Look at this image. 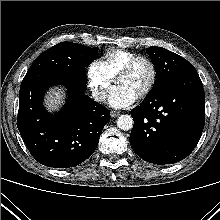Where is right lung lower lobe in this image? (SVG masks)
<instances>
[{
    "mask_svg": "<svg viewBox=\"0 0 220 220\" xmlns=\"http://www.w3.org/2000/svg\"><path fill=\"white\" fill-rule=\"evenodd\" d=\"M63 85L68 98L60 112L49 114L42 100L46 90ZM85 71L27 73L20 86L17 127L31 155L53 168L74 167L95 151L109 110L85 94Z\"/></svg>",
    "mask_w": 220,
    "mask_h": 220,
    "instance_id": "obj_1",
    "label": "right lung lower lobe"
}]
</instances>
